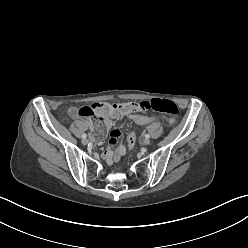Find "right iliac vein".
<instances>
[{"label": "right iliac vein", "instance_id": "63e3f726", "mask_svg": "<svg viewBox=\"0 0 248 248\" xmlns=\"http://www.w3.org/2000/svg\"><path fill=\"white\" fill-rule=\"evenodd\" d=\"M82 144L87 145L88 144V140L86 138H83L82 139Z\"/></svg>", "mask_w": 248, "mask_h": 248}]
</instances>
